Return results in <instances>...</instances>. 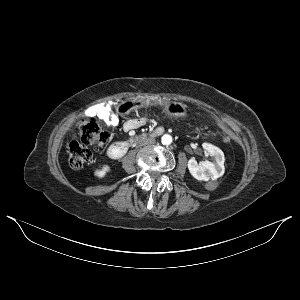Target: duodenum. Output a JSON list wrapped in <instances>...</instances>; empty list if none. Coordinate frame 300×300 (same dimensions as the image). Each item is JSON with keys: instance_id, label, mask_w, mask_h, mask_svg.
I'll return each instance as SVG.
<instances>
[{"instance_id": "410a0bca", "label": "duodenum", "mask_w": 300, "mask_h": 300, "mask_svg": "<svg viewBox=\"0 0 300 300\" xmlns=\"http://www.w3.org/2000/svg\"><path fill=\"white\" fill-rule=\"evenodd\" d=\"M159 132H153L151 134L145 135V136H138V135H132L130 136L128 139L124 140V141H120V142H116L112 145H110L107 148V155L110 158L113 159H117L122 157L128 150L130 147H132L139 139L141 138H149V137H154L156 134H158Z\"/></svg>"}]
</instances>
